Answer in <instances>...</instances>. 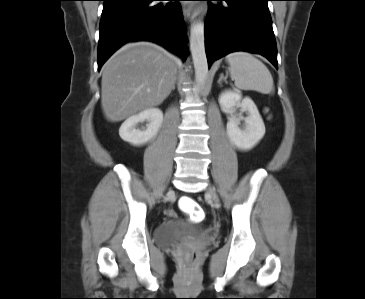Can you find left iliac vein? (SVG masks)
I'll list each match as a JSON object with an SVG mask.
<instances>
[{
	"mask_svg": "<svg viewBox=\"0 0 365 299\" xmlns=\"http://www.w3.org/2000/svg\"><path fill=\"white\" fill-rule=\"evenodd\" d=\"M208 193L211 196L212 200L214 201L215 205H218V197L216 195V192L213 188L208 189Z\"/></svg>",
	"mask_w": 365,
	"mask_h": 299,
	"instance_id": "4c4485c4",
	"label": "left iliac vein"
}]
</instances>
